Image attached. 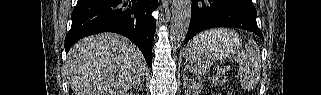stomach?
I'll use <instances>...</instances> for the list:
<instances>
[{"mask_svg":"<svg viewBox=\"0 0 321 95\" xmlns=\"http://www.w3.org/2000/svg\"><path fill=\"white\" fill-rule=\"evenodd\" d=\"M241 48V40L234 32H229L227 36L216 42L201 40L195 44L189 43L187 56H202L204 58L219 59L226 58L235 54Z\"/></svg>","mask_w":321,"mask_h":95,"instance_id":"obj_1","label":"stomach"}]
</instances>
